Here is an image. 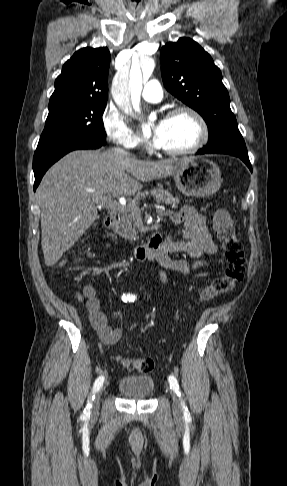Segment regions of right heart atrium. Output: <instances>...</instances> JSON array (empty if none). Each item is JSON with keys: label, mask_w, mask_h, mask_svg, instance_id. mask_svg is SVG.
<instances>
[{"label": "right heart atrium", "mask_w": 287, "mask_h": 486, "mask_svg": "<svg viewBox=\"0 0 287 486\" xmlns=\"http://www.w3.org/2000/svg\"><path fill=\"white\" fill-rule=\"evenodd\" d=\"M104 132L117 146L133 151L141 146V139L118 113L105 109L102 114Z\"/></svg>", "instance_id": "d8ad5b80"}]
</instances>
